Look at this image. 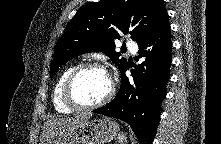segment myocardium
<instances>
[{
    "label": "myocardium",
    "mask_w": 221,
    "mask_h": 144,
    "mask_svg": "<svg viewBox=\"0 0 221 144\" xmlns=\"http://www.w3.org/2000/svg\"><path fill=\"white\" fill-rule=\"evenodd\" d=\"M90 68H97V69L103 70L109 75L106 67L102 63L96 62V61L83 62L74 67V69L69 73V75L65 79L63 86H62V100L67 107L71 108L74 111L90 110V109L101 107L105 105L106 103H108L114 95L115 85H114L112 78L109 75L110 88L107 94L101 100L92 104H83V103L78 102L75 99L73 95L74 82L84 70L90 69Z\"/></svg>",
    "instance_id": "f54148a6"
}]
</instances>
